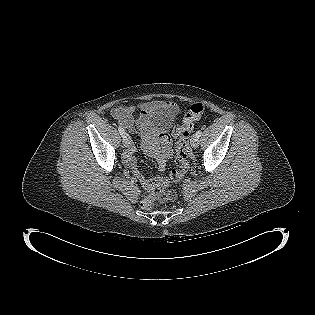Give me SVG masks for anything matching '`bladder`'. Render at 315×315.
I'll return each instance as SVG.
<instances>
[{"instance_id":"obj_1","label":"bladder","mask_w":315,"mask_h":315,"mask_svg":"<svg viewBox=\"0 0 315 315\" xmlns=\"http://www.w3.org/2000/svg\"><path fill=\"white\" fill-rule=\"evenodd\" d=\"M149 126L157 129H167L172 126V122L163 111H156L148 119Z\"/></svg>"}]
</instances>
